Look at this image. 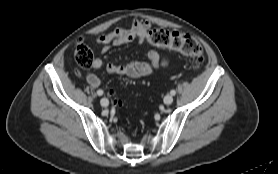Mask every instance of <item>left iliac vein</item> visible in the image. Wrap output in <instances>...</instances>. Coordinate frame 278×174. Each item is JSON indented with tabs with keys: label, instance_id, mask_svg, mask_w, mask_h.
<instances>
[{
	"label": "left iliac vein",
	"instance_id": "obj_1",
	"mask_svg": "<svg viewBox=\"0 0 278 174\" xmlns=\"http://www.w3.org/2000/svg\"><path fill=\"white\" fill-rule=\"evenodd\" d=\"M172 102H173V97H172V95L167 94V95L164 97V103H165L166 105H170Z\"/></svg>",
	"mask_w": 278,
	"mask_h": 174
}]
</instances>
